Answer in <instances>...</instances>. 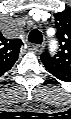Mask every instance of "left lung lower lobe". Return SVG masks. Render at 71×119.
<instances>
[{
  "label": "left lung lower lobe",
  "mask_w": 71,
  "mask_h": 119,
  "mask_svg": "<svg viewBox=\"0 0 71 119\" xmlns=\"http://www.w3.org/2000/svg\"><path fill=\"white\" fill-rule=\"evenodd\" d=\"M47 70L56 78L62 81L71 82V73L47 68Z\"/></svg>",
  "instance_id": "1"
}]
</instances>
